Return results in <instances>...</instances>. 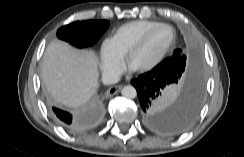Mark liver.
I'll return each instance as SVG.
<instances>
[{
    "label": "liver",
    "instance_id": "1",
    "mask_svg": "<svg viewBox=\"0 0 244 157\" xmlns=\"http://www.w3.org/2000/svg\"><path fill=\"white\" fill-rule=\"evenodd\" d=\"M41 75L56 102L79 107L99 87L98 57L92 50H79L63 41L51 42L42 58Z\"/></svg>",
    "mask_w": 244,
    "mask_h": 157
}]
</instances>
